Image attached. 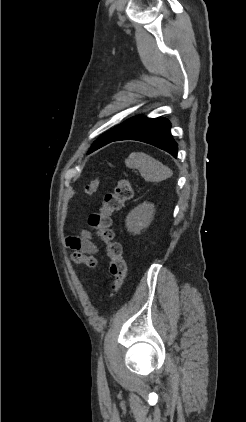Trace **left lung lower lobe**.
<instances>
[{
  "label": "left lung lower lobe",
  "instance_id": "obj_1",
  "mask_svg": "<svg viewBox=\"0 0 246 422\" xmlns=\"http://www.w3.org/2000/svg\"><path fill=\"white\" fill-rule=\"evenodd\" d=\"M170 127V122L165 118L142 117L116 139L105 142L99 148L113 141L137 140L156 146L176 158L178 147Z\"/></svg>",
  "mask_w": 246,
  "mask_h": 422
}]
</instances>
